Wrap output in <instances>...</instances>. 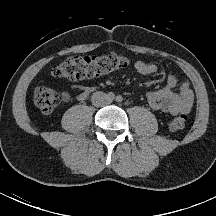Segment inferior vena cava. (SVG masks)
<instances>
[{"instance_id": "inferior-vena-cava-1", "label": "inferior vena cava", "mask_w": 216, "mask_h": 216, "mask_svg": "<svg viewBox=\"0 0 216 216\" xmlns=\"http://www.w3.org/2000/svg\"><path fill=\"white\" fill-rule=\"evenodd\" d=\"M91 102L95 107H103L110 103V98L104 92H95L92 94Z\"/></svg>"}]
</instances>
